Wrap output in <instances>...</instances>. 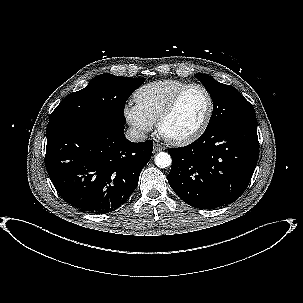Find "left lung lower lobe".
Listing matches in <instances>:
<instances>
[{"instance_id":"1","label":"left lung lower lobe","mask_w":303,"mask_h":303,"mask_svg":"<svg viewBox=\"0 0 303 303\" xmlns=\"http://www.w3.org/2000/svg\"><path fill=\"white\" fill-rule=\"evenodd\" d=\"M257 120L249 117L206 129L192 144L170 148L167 176L175 193L199 209L235 202L246 190L259 157Z\"/></svg>"}]
</instances>
